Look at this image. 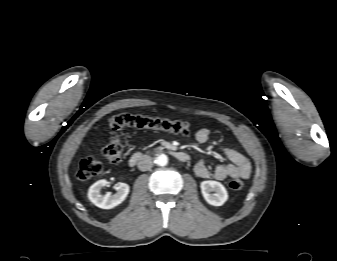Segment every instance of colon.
<instances>
[{"label": "colon", "mask_w": 337, "mask_h": 261, "mask_svg": "<svg viewBox=\"0 0 337 261\" xmlns=\"http://www.w3.org/2000/svg\"><path fill=\"white\" fill-rule=\"evenodd\" d=\"M108 127L113 134L124 127L154 129L183 136H187L191 133V126L187 122L133 115L129 113H121L113 116L108 121ZM122 152L123 144L117 137H112L102 150L104 157L113 164L118 163L121 160ZM102 169L100 161L93 157H86L79 163L77 176L80 180H89L99 176L102 173ZM243 186L244 183L240 179H233L229 182L230 189L234 191L241 190Z\"/></svg>", "instance_id": "5ec220e1"}]
</instances>
